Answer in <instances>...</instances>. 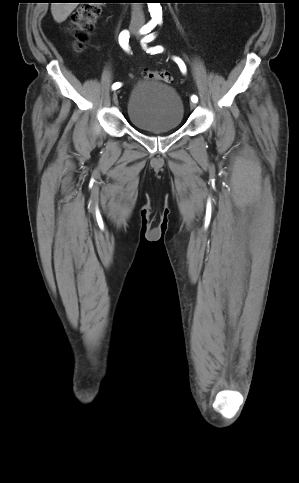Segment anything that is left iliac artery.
I'll use <instances>...</instances> for the list:
<instances>
[{"mask_svg": "<svg viewBox=\"0 0 299 483\" xmlns=\"http://www.w3.org/2000/svg\"><path fill=\"white\" fill-rule=\"evenodd\" d=\"M154 38H155V35H153V34H149V35L145 36L142 40L143 47H145L146 43L152 41ZM161 52H163V47L159 46V45L147 49V53H151V54H157V53H161ZM174 60L178 64L182 73H185L186 72V66H185L184 62L178 57H175ZM191 101L194 102V103H197L198 97L196 95H193L191 97Z\"/></svg>", "mask_w": 299, "mask_h": 483, "instance_id": "left-iliac-artery-1", "label": "left iliac artery"}]
</instances>
